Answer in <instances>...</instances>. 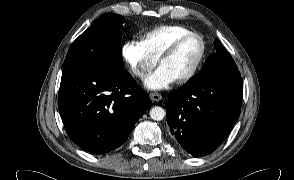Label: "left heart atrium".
I'll list each match as a JSON object with an SVG mask.
<instances>
[{"mask_svg":"<svg viewBox=\"0 0 294 180\" xmlns=\"http://www.w3.org/2000/svg\"><path fill=\"white\" fill-rule=\"evenodd\" d=\"M174 82L172 75L163 66H159L145 79V86L149 89L160 90L169 87Z\"/></svg>","mask_w":294,"mask_h":180,"instance_id":"39dd6f15","label":"left heart atrium"}]
</instances>
